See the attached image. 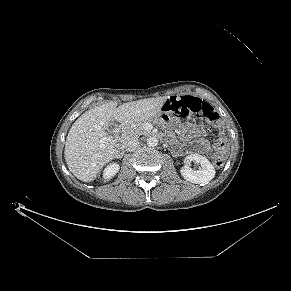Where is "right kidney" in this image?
I'll return each mask as SVG.
<instances>
[{
    "label": "right kidney",
    "instance_id": "ca27d5eb",
    "mask_svg": "<svg viewBox=\"0 0 291 291\" xmlns=\"http://www.w3.org/2000/svg\"><path fill=\"white\" fill-rule=\"evenodd\" d=\"M119 169H120L119 164H117V163H111V164H109L104 169L103 178L105 180H110L112 177H114L118 173Z\"/></svg>",
    "mask_w": 291,
    "mask_h": 291
}]
</instances>
